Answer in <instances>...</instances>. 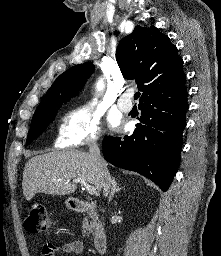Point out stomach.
Returning <instances> with one entry per match:
<instances>
[{
    "instance_id": "1",
    "label": "stomach",
    "mask_w": 221,
    "mask_h": 256,
    "mask_svg": "<svg viewBox=\"0 0 221 256\" xmlns=\"http://www.w3.org/2000/svg\"><path fill=\"white\" fill-rule=\"evenodd\" d=\"M66 204H67V206H68L69 208H71L72 202H71L70 199L66 201Z\"/></svg>"
}]
</instances>
